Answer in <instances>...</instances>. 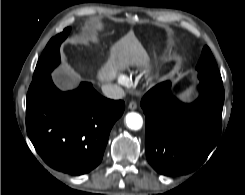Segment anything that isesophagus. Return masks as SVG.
<instances>
[{"instance_id":"obj_1","label":"esophagus","mask_w":245,"mask_h":195,"mask_svg":"<svg viewBox=\"0 0 245 195\" xmlns=\"http://www.w3.org/2000/svg\"><path fill=\"white\" fill-rule=\"evenodd\" d=\"M128 108H129L130 110H135V109H137V103L134 102V101H131V102L129 103V105H128Z\"/></svg>"}]
</instances>
